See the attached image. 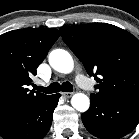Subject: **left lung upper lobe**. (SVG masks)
<instances>
[{"label":"left lung upper lobe","instance_id":"obj_1","mask_svg":"<svg viewBox=\"0 0 139 139\" xmlns=\"http://www.w3.org/2000/svg\"><path fill=\"white\" fill-rule=\"evenodd\" d=\"M62 38L99 83L91 94L104 102L139 95V40L106 23L65 26Z\"/></svg>","mask_w":139,"mask_h":139}]
</instances>
